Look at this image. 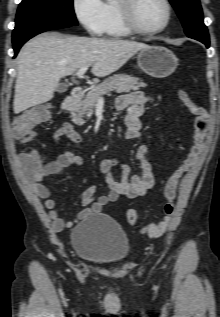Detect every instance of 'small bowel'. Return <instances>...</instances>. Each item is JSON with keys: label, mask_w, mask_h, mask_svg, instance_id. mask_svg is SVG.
<instances>
[{"label": "small bowel", "mask_w": 220, "mask_h": 317, "mask_svg": "<svg viewBox=\"0 0 220 317\" xmlns=\"http://www.w3.org/2000/svg\"><path fill=\"white\" fill-rule=\"evenodd\" d=\"M153 99L141 91H133L121 95L117 100V107L125 110V137L127 139H136L140 136L141 121L140 116L143 114L144 106L152 102ZM63 137L68 138L74 144L82 142L81 135L73 128L70 123H64L55 135L56 141L60 144ZM148 147L139 145L135 149V159L138 162V174H131L130 167L126 164L121 166V178L117 180L112 168L116 164L114 158H104L100 161L99 167L105 175L106 182L109 186V192L95 198L96 188L91 186L78 195L79 201L86 209L81 211L73 221H65L60 212L56 209V202L50 197L49 188L42 183L44 177L61 173L65 168L70 166H80L82 164L81 156L68 150H62L55 161L42 164L39 169H35L26 163V155L21 154L19 161L22 168L28 176V184L32 191L44 200V206L48 210L49 219L52 229L60 231L69 227L80 219L91 214L100 213L105 205L116 201L121 196L136 198L144 196L154 186V170L148 158Z\"/></svg>", "instance_id": "1"}]
</instances>
